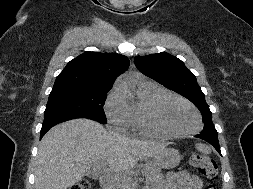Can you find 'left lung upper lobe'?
I'll use <instances>...</instances> for the list:
<instances>
[{
    "instance_id": "1",
    "label": "left lung upper lobe",
    "mask_w": 253,
    "mask_h": 189,
    "mask_svg": "<svg viewBox=\"0 0 253 189\" xmlns=\"http://www.w3.org/2000/svg\"><path fill=\"white\" fill-rule=\"evenodd\" d=\"M134 62L144 75L186 97L201 111L205 121L203 133L217 134L209 106L196 77L180 59L162 52L147 56H136Z\"/></svg>"
}]
</instances>
